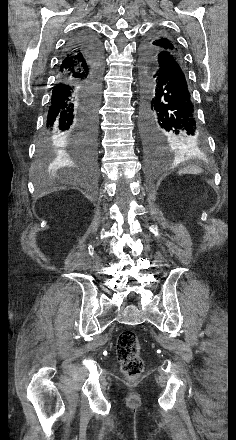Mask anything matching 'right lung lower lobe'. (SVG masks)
Masks as SVG:
<instances>
[{"label":"right lung lower lobe","instance_id":"1","mask_svg":"<svg viewBox=\"0 0 236 440\" xmlns=\"http://www.w3.org/2000/svg\"><path fill=\"white\" fill-rule=\"evenodd\" d=\"M74 48H78L86 59L89 77L86 81L64 79L55 84L47 114L45 139L54 138L61 145L76 146L80 157L90 163L96 153L97 108L89 99L86 87L96 86L101 91L104 53L98 37L89 31L81 32L70 40L67 51Z\"/></svg>","mask_w":236,"mask_h":440}]
</instances>
